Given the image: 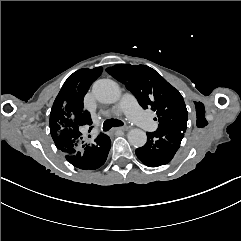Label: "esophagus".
Returning a JSON list of instances; mask_svg holds the SVG:
<instances>
[{
  "instance_id": "1",
  "label": "esophagus",
  "mask_w": 241,
  "mask_h": 241,
  "mask_svg": "<svg viewBox=\"0 0 241 241\" xmlns=\"http://www.w3.org/2000/svg\"><path fill=\"white\" fill-rule=\"evenodd\" d=\"M128 128L127 127H118V128H115V129H113L112 130V132H116V131H125V130H127Z\"/></svg>"
}]
</instances>
